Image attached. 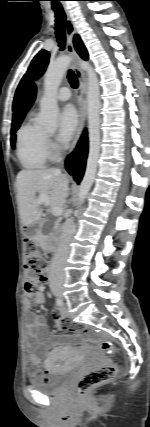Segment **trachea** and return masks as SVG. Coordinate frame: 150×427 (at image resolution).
<instances>
[{
  "instance_id": "1",
  "label": "trachea",
  "mask_w": 150,
  "mask_h": 427,
  "mask_svg": "<svg viewBox=\"0 0 150 427\" xmlns=\"http://www.w3.org/2000/svg\"><path fill=\"white\" fill-rule=\"evenodd\" d=\"M52 9L55 12V33H56V38L60 47V50H64L65 48V41H66V37H65V20H66V15L65 12L61 6V4L54 2L52 4ZM68 80L69 83L71 84V86L73 88H77L78 87V80L77 77L75 75V73L72 70H69L68 72Z\"/></svg>"
}]
</instances>
